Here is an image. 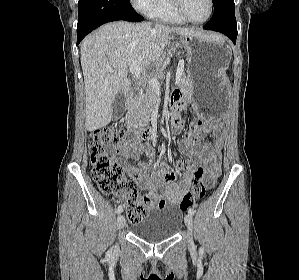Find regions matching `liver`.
I'll return each instance as SVG.
<instances>
[{"instance_id":"liver-1","label":"liver","mask_w":299,"mask_h":280,"mask_svg":"<svg viewBox=\"0 0 299 280\" xmlns=\"http://www.w3.org/2000/svg\"><path fill=\"white\" fill-rule=\"evenodd\" d=\"M171 33L180 37L203 34L196 29L117 21L101 26L82 41L80 59L85 84V126L88 131L110 123L115 98L119 93L126 96L131 88L127 79L128 67L139 62L146 69L157 63L169 43Z\"/></svg>"}]
</instances>
